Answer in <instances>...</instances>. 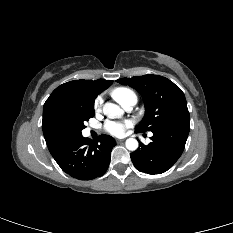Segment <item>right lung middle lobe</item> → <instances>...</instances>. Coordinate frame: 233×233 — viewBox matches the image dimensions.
Wrapping results in <instances>:
<instances>
[{
	"label": "right lung middle lobe",
	"instance_id": "right-lung-middle-lobe-1",
	"mask_svg": "<svg viewBox=\"0 0 233 233\" xmlns=\"http://www.w3.org/2000/svg\"><path fill=\"white\" fill-rule=\"evenodd\" d=\"M94 116V103L78 104L59 114L53 123L54 142L63 145L82 136L84 121Z\"/></svg>",
	"mask_w": 233,
	"mask_h": 233
}]
</instances>
